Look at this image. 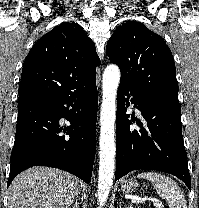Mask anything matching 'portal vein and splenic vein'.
Here are the masks:
<instances>
[{"instance_id": "portal-vein-and-splenic-vein-1", "label": "portal vein and splenic vein", "mask_w": 199, "mask_h": 208, "mask_svg": "<svg viewBox=\"0 0 199 208\" xmlns=\"http://www.w3.org/2000/svg\"><path fill=\"white\" fill-rule=\"evenodd\" d=\"M141 200L144 201L145 198L144 199H141ZM149 200L153 202V206L154 207H156V208H163V205L161 204L160 201L155 200V199H149Z\"/></svg>"}]
</instances>
